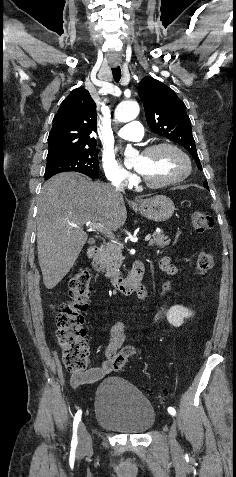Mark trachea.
<instances>
[{
  "label": "trachea",
  "mask_w": 236,
  "mask_h": 477,
  "mask_svg": "<svg viewBox=\"0 0 236 477\" xmlns=\"http://www.w3.org/2000/svg\"><path fill=\"white\" fill-rule=\"evenodd\" d=\"M112 74L115 82H118L121 79V69L119 66L112 68Z\"/></svg>",
  "instance_id": "1"
}]
</instances>
